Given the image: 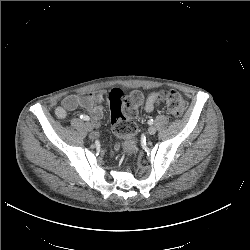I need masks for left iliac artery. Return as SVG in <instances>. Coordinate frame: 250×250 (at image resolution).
<instances>
[{"label": "left iliac artery", "instance_id": "obj_1", "mask_svg": "<svg viewBox=\"0 0 250 250\" xmlns=\"http://www.w3.org/2000/svg\"><path fill=\"white\" fill-rule=\"evenodd\" d=\"M154 123V120L153 119H150L149 121H148V124L149 125H152Z\"/></svg>", "mask_w": 250, "mask_h": 250}]
</instances>
